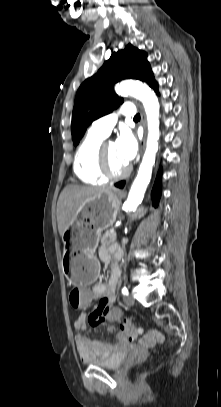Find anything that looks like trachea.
<instances>
[{
  "label": "trachea",
  "mask_w": 221,
  "mask_h": 407,
  "mask_svg": "<svg viewBox=\"0 0 221 407\" xmlns=\"http://www.w3.org/2000/svg\"><path fill=\"white\" fill-rule=\"evenodd\" d=\"M139 119H140V115L136 114L135 117H134V120H139Z\"/></svg>",
  "instance_id": "3493384b"
}]
</instances>
